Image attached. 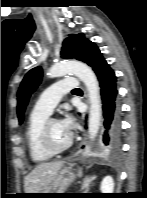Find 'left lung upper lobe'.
<instances>
[{
	"label": "left lung upper lobe",
	"instance_id": "1",
	"mask_svg": "<svg viewBox=\"0 0 147 198\" xmlns=\"http://www.w3.org/2000/svg\"><path fill=\"white\" fill-rule=\"evenodd\" d=\"M93 42L88 41L84 34H71L63 42L61 55L63 58L81 60L85 62L87 52ZM42 78V68L31 69L24 77L18 91L17 114L19 122L22 123L25 108L28 104L30 95L37 88Z\"/></svg>",
	"mask_w": 147,
	"mask_h": 198
}]
</instances>
